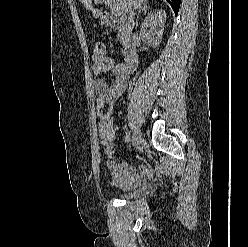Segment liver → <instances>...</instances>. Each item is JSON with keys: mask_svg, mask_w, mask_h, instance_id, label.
<instances>
[{"mask_svg": "<svg viewBox=\"0 0 248 247\" xmlns=\"http://www.w3.org/2000/svg\"><path fill=\"white\" fill-rule=\"evenodd\" d=\"M82 4H84V6L92 11L93 13V17L95 19H97L99 16L102 15V9H95L93 8L92 5V0H80ZM109 2V6L116 8L118 10V12H120L123 16L126 15V13L128 12L129 7L132 8H139L144 2H146V0H102L101 2Z\"/></svg>", "mask_w": 248, "mask_h": 247, "instance_id": "obj_1", "label": "liver"}]
</instances>
